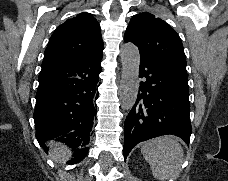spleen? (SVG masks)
<instances>
[{"label":"spleen","instance_id":"spleen-1","mask_svg":"<svg viewBox=\"0 0 228 181\" xmlns=\"http://www.w3.org/2000/svg\"><path fill=\"white\" fill-rule=\"evenodd\" d=\"M141 153L157 181H175L179 177L184 155L180 143L173 137L165 135L142 143Z\"/></svg>","mask_w":228,"mask_h":181}]
</instances>
